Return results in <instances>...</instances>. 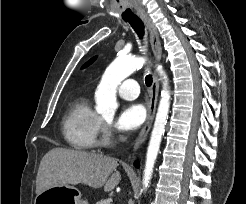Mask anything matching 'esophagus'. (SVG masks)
I'll use <instances>...</instances> for the list:
<instances>
[{"label": "esophagus", "instance_id": "obj_1", "mask_svg": "<svg viewBox=\"0 0 246 204\" xmlns=\"http://www.w3.org/2000/svg\"><path fill=\"white\" fill-rule=\"evenodd\" d=\"M141 18L143 22L145 23L149 31V34H150L151 48H152L155 62H159L162 56V48H161V43H160V38H159L157 28L155 27L154 23L147 15H142ZM158 92H159V80H158L156 73L154 72L153 73V83H152L151 91H150V101L148 104L147 119L134 144V148H133L134 153L144 143L151 129L154 116H155V111H156Z\"/></svg>", "mask_w": 246, "mask_h": 204}]
</instances>
